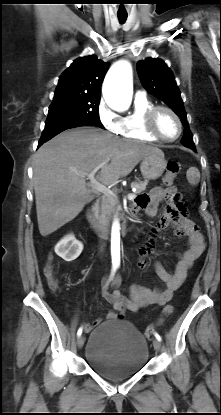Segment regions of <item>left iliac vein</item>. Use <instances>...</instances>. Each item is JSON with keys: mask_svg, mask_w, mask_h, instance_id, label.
<instances>
[{"mask_svg": "<svg viewBox=\"0 0 221 415\" xmlns=\"http://www.w3.org/2000/svg\"><path fill=\"white\" fill-rule=\"evenodd\" d=\"M153 346L156 351H160L161 349V342L158 339L153 340Z\"/></svg>", "mask_w": 221, "mask_h": 415, "instance_id": "left-iliac-vein-1", "label": "left iliac vein"}]
</instances>
